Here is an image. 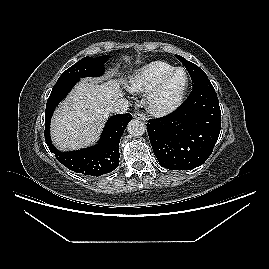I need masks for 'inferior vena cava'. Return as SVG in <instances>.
<instances>
[{"mask_svg": "<svg viewBox=\"0 0 269 269\" xmlns=\"http://www.w3.org/2000/svg\"><path fill=\"white\" fill-rule=\"evenodd\" d=\"M129 107V101L126 99H118L113 102L109 107L108 111L116 114H122L127 112Z\"/></svg>", "mask_w": 269, "mask_h": 269, "instance_id": "inferior-vena-cava-1", "label": "inferior vena cava"}]
</instances>
